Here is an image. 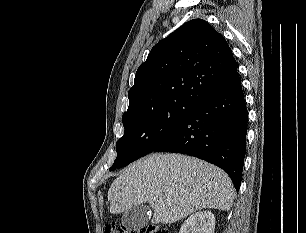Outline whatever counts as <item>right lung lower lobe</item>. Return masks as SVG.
<instances>
[{
  "label": "right lung lower lobe",
  "instance_id": "98d812e1",
  "mask_svg": "<svg viewBox=\"0 0 306 233\" xmlns=\"http://www.w3.org/2000/svg\"><path fill=\"white\" fill-rule=\"evenodd\" d=\"M248 112L240 80L202 101L153 151L195 156L241 185Z\"/></svg>",
  "mask_w": 306,
  "mask_h": 233
}]
</instances>
